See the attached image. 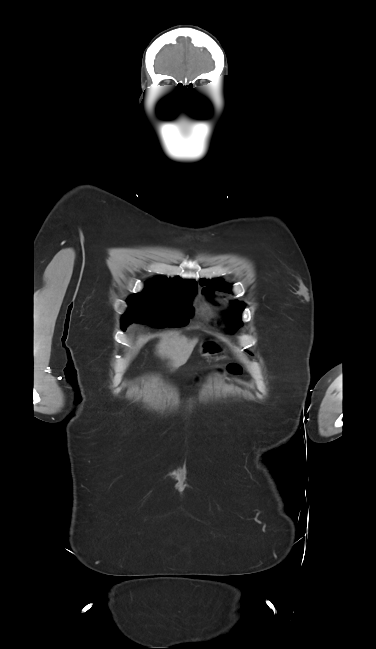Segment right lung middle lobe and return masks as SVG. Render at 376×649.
I'll list each match as a JSON object with an SVG mask.
<instances>
[{
  "label": "right lung middle lobe",
  "instance_id": "1",
  "mask_svg": "<svg viewBox=\"0 0 376 649\" xmlns=\"http://www.w3.org/2000/svg\"><path fill=\"white\" fill-rule=\"evenodd\" d=\"M197 284L194 280L156 278L146 283L141 293L128 299L130 306L122 317V329L133 322L154 327H182L193 314L192 297Z\"/></svg>",
  "mask_w": 376,
  "mask_h": 649
}]
</instances>
